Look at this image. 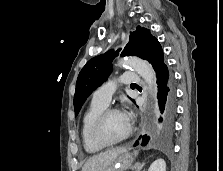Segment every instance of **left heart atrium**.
<instances>
[{
	"mask_svg": "<svg viewBox=\"0 0 223 171\" xmlns=\"http://www.w3.org/2000/svg\"><path fill=\"white\" fill-rule=\"evenodd\" d=\"M123 115L125 116V118L129 121V115L127 113H123Z\"/></svg>",
	"mask_w": 223,
	"mask_h": 171,
	"instance_id": "39dd6f15",
	"label": "left heart atrium"
}]
</instances>
